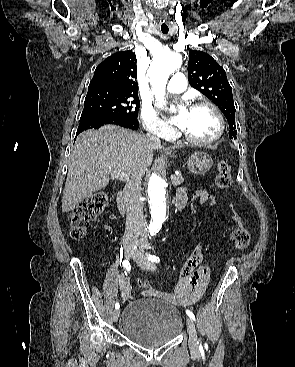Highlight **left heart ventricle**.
I'll use <instances>...</instances> for the list:
<instances>
[{
    "label": "left heart ventricle",
    "instance_id": "left-heart-ventricle-1",
    "mask_svg": "<svg viewBox=\"0 0 295 367\" xmlns=\"http://www.w3.org/2000/svg\"><path fill=\"white\" fill-rule=\"evenodd\" d=\"M182 130L195 139L204 140L217 132L218 121L208 107L190 108Z\"/></svg>",
    "mask_w": 295,
    "mask_h": 367
}]
</instances>
